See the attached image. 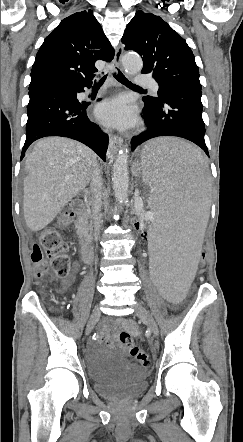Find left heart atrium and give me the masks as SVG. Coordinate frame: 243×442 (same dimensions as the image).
<instances>
[{"label":"left heart atrium","instance_id":"obj_1","mask_svg":"<svg viewBox=\"0 0 243 442\" xmlns=\"http://www.w3.org/2000/svg\"><path fill=\"white\" fill-rule=\"evenodd\" d=\"M96 116L107 126L125 129L137 121V110L124 96H117L101 102L96 108Z\"/></svg>","mask_w":243,"mask_h":442}]
</instances>
